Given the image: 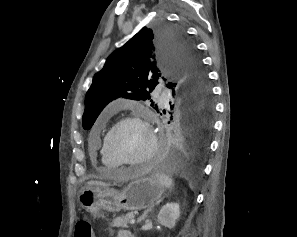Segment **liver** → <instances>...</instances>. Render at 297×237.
Wrapping results in <instances>:
<instances>
[{
	"label": "liver",
	"instance_id": "6515ba94",
	"mask_svg": "<svg viewBox=\"0 0 297 237\" xmlns=\"http://www.w3.org/2000/svg\"><path fill=\"white\" fill-rule=\"evenodd\" d=\"M88 186H100V187H107L108 184L99 181H90L87 183Z\"/></svg>",
	"mask_w": 297,
	"mask_h": 237
}]
</instances>
